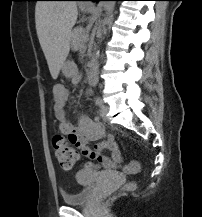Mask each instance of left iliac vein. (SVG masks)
I'll return each instance as SVG.
<instances>
[{
	"mask_svg": "<svg viewBox=\"0 0 202 217\" xmlns=\"http://www.w3.org/2000/svg\"><path fill=\"white\" fill-rule=\"evenodd\" d=\"M108 111H109V107H108V106L102 105V106L100 107V116H101L104 120H106V118H107V113H108Z\"/></svg>",
	"mask_w": 202,
	"mask_h": 217,
	"instance_id": "4c4485c4",
	"label": "left iliac vein"
}]
</instances>
